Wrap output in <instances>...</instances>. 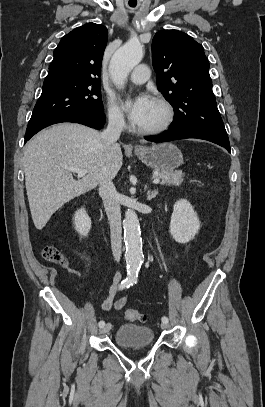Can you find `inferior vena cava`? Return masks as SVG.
Instances as JSON below:
<instances>
[{
    "instance_id": "inferior-vena-cava-1",
    "label": "inferior vena cava",
    "mask_w": 265,
    "mask_h": 407,
    "mask_svg": "<svg viewBox=\"0 0 265 407\" xmlns=\"http://www.w3.org/2000/svg\"><path fill=\"white\" fill-rule=\"evenodd\" d=\"M125 125L122 115L109 114L107 128L100 137L107 147L115 144ZM99 195L101 196L110 224L111 248L115 261L119 262L122 254V227L118 192L109 175L103 176L99 181Z\"/></svg>"
}]
</instances>
